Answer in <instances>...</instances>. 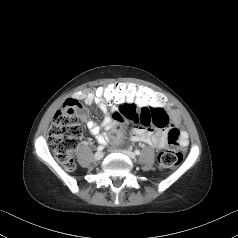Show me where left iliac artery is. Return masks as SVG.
I'll return each mask as SVG.
<instances>
[{
  "mask_svg": "<svg viewBox=\"0 0 238 238\" xmlns=\"http://www.w3.org/2000/svg\"><path fill=\"white\" fill-rule=\"evenodd\" d=\"M135 154H136V155H140L141 153H140L139 150H135Z\"/></svg>",
  "mask_w": 238,
  "mask_h": 238,
  "instance_id": "obj_1",
  "label": "left iliac artery"
}]
</instances>
